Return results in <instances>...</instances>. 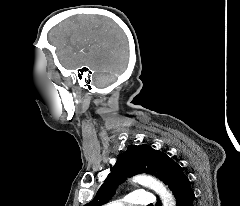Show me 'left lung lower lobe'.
<instances>
[{
    "instance_id": "0a47b994",
    "label": "left lung lower lobe",
    "mask_w": 240,
    "mask_h": 206,
    "mask_svg": "<svg viewBox=\"0 0 240 206\" xmlns=\"http://www.w3.org/2000/svg\"><path fill=\"white\" fill-rule=\"evenodd\" d=\"M166 184L173 192L177 206L195 205V195L191 188V183L183 172L182 167L176 162L173 163L168 172ZM156 206H160V202H157Z\"/></svg>"
}]
</instances>
